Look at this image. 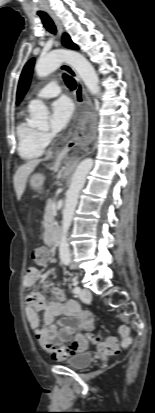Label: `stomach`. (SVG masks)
<instances>
[{"instance_id":"obj_1","label":"stomach","mask_w":155,"mask_h":413,"mask_svg":"<svg viewBox=\"0 0 155 413\" xmlns=\"http://www.w3.org/2000/svg\"><path fill=\"white\" fill-rule=\"evenodd\" d=\"M44 179V176H42L41 174H34L30 179L31 187L38 191H41Z\"/></svg>"}]
</instances>
